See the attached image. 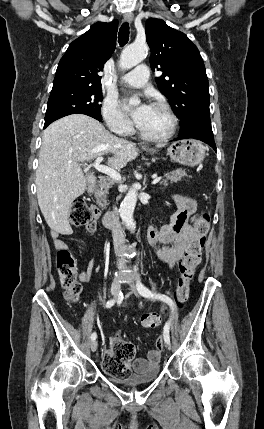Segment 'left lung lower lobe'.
<instances>
[{
    "label": "left lung lower lobe",
    "mask_w": 264,
    "mask_h": 429,
    "mask_svg": "<svg viewBox=\"0 0 264 429\" xmlns=\"http://www.w3.org/2000/svg\"><path fill=\"white\" fill-rule=\"evenodd\" d=\"M187 138L201 140L210 145L216 151L210 119H202L198 121L189 131L180 133L176 140Z\"/></svg>",
    "instance_id": "1"
}]
</instances>
